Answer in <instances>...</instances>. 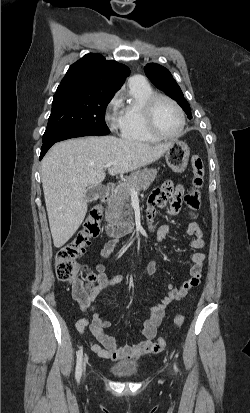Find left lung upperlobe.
<instances>
[{
	"instance_id": "1",
	"label": "left lung upper lobe",
	"mask_w": 250,
	"mask_h": 413,
	"mask_svg": "<svg viewBox=\"0 0 250 413\" xmlns=\"http://www.w3.org/2000/svg\"><path fill=\"white\" fill-rule=\"evenodd\" d=\"M144 70L150 81L172 99L176 100L188 115V118H192L190 105L184 98L180 87L172 77L171 73L166 68L153 63L148 64Z\"/></svg>"
}]
</instances>
